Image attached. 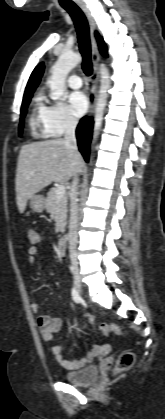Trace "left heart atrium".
Masks as SVG:
<instances>
[{"label": "left heart atrium", "mask_w": 165, "mask_h": 419, "mask_svg": "<svg viewBox=\"0 0 165 419\" xmlns=\"http://www.w3.org/2000/svg\"><path fill=\"white\" fill-rule=\"evenodd\" d=\"M68 100L71 109L76 116H82L83 114H85L88 108V99L83 92H72L69 95Z\"/></svg>", "instance_id": "obj_1"}]
</instances>
